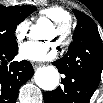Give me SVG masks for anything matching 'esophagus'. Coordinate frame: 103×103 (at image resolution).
Wrapping results in <instances>:
<instances>
[{
    "label": "esophagus",
    "instance_id": "esophagus-1",
    "mask_svg": "<svg viewBox=\"0 0 103 103\" xmlns=\"http://www.w3.org/2000/svg\"><path fill=\"white\" fill-rule=\"evenodd\" d=\"M40 65H41V63L32 62V66H33L34 69H37Z\"/></svg>",
    "mask_w": 103,
    "mask_h": 103
}]
</instances>
